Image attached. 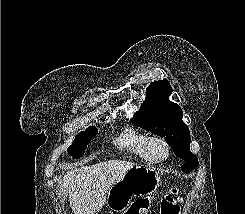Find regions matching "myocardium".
I'll return each instance as SVG.
<instances>
[{
  "label": "myocardium",
  "mask_w": 245,
  "mask_h": 214,
  "mask_svg": "<svg viewBox=\"0 0 245 214\" xmlns=\"http://www.w3.org/2000/svg\"><path fill=\"white\" fill-rule=\"evenodd\" d=\"M156 144L161 145L165 150V155L161 158H156L151 153L152 146ZM146 152H147V156L150 162L158 163V162L165 161L169 157L171 149H170L169 144L164 138L159 137V136H151L148 138L147 143H146Z\"/></svg>",
  "instance_id": "1"
}]
</instances>
